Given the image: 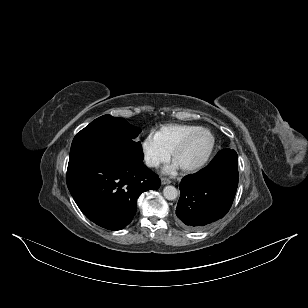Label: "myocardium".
Masks as SVG:
<instances>
[{"label": "myocardium", "mask_w": 308, "mask_h": 308, "mask_svg": "<svg viewBox=\"0 0 308 308\" xmlns=\"http://www.w3.org/2000/svg\"><path fill=\"white\" fill-rule=\"evenodd\" d=\"M200 133H208L211 138H212V144L210 146V149L208 151V153L206 154V156L197 164L194 165H190V166H185V167H180V169L184 172V173H193V172H197L201 169H203L211 160L215 149H216V136L213 133V131H211L208 128H204V127H200L194 131H192L191 133H189L171 152L172 155V159L173 161L176 160L177 156L183 152L187 146L189 145V143L194 139L195 136H197Z\"/></svg>", "instance_id": "f54148a6"}]
</instances>
